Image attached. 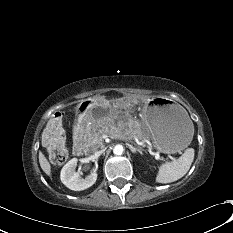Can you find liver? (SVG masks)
I'll list each match as a JSON object with an SVG mask.
<instances>
[{
  "label": "liver",
  "instance_id": "1",
  "mask_svg": "<svg viewBox=\"0 0 233 233\" xmlns=\"http://www.w3.org/2000/svg\"><path fill=\"white\" fill-rule=\"evenodd\" d=\"M39 163L42 168V170L47 174L50 175L51 173V165L48 162L47 158L42 152H39Z\"/></svg>",
  "mask_w": 233,
  "mask_h": 233
}]
</instances>
